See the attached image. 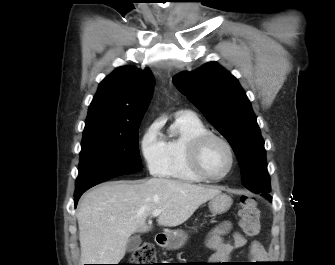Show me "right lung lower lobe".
Segmentation results:
<instances>
[{"label": "right lung lower lobe", "instance_id": "obj_1", "mask_svg": "<svg viewBox=\"0 0 335 265\" xmlns=\"http://www.w3.org/2000/svg\"><path fill=\"white\" fill-rule=\"evenodd\" d=\"M89 188H91V187H87V188H84V189H81V190L75 192V194H74V202H75V206L77 205V202H78L79 198L81 197V195H82L86 190H88Z\"/></svg>", "mask_w": 335, "mask_h": 265}]
</instances>
